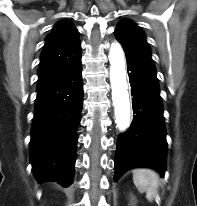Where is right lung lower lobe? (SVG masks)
Instances as JSON below:
<instances>
[{
    "instance_id": "right-lung-lower-lobe-1",
    "label": "right lung lower lobe",
    "mask_w": 197,
    "mask_h": 206,
    "mask_svg": "<svg viewBox=\"0 0 197 206\" xmlns=\"http://www.w3.org/2000/svg\"><path fill=\"white\" fill-rule=\"evenodd\" d=\"M82 97L81 60L66 75L37 91L30 159L38 183H72Z\"/></svg>"
}]
</instances>
